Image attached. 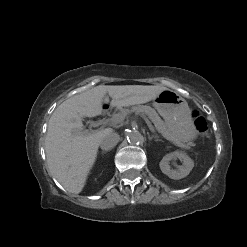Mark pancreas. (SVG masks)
<instances>
[{"label":"pancreas","instance_id":"obj_1","mask_svg":"<svg viewBox=\"0 0 247 247\" xmlns=\"http://www.w3.org/2000/svg\"><path fill=\"white\" fill-rule=\"evenodd\" d=\"M135 112L136 114L142 113L148 115L151 121L154 123L156 130L167 140L172 142L173 144L189 149V145L182 142L178 137L169 130L166 123L158 116L156 111L149 106L146 105H138L133 106L131 109H121L120 113L117 115L125 118L128 114Z\"/></svg>","mask_w":247,"mask_h":247}]
</instances>
